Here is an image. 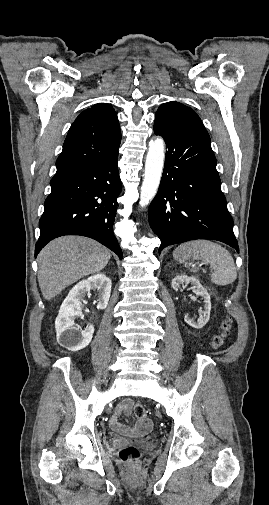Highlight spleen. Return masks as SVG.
Wrapping results in <instances>:
<instances>
[{"label": "spleen", "instance_id": "spleen-1", "mask_svg": "<svg viewBox=\"0 0 269 505\" xmlns=\"http://www.w3.org/2000/svg\"><path fill=\"white\" fill-rule=\"evenodd\" d=\"M173 256L179 263H184L191 272H197L198 268L185 262L188 258L201 259L210 264L211 281L217 285L231 284L237 278L232 255L218 243L203 239L185 242L174 250Z\"/></svg>", "mask_w": 269, "mask_h": 505}]
</instances>
